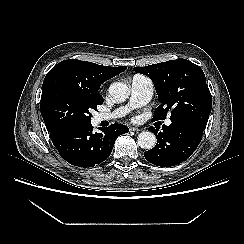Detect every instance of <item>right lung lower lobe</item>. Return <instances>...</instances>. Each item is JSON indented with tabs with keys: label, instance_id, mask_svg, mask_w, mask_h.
Here are the masks:
<instances>
[{
	"label": "right lung lower lobe",
	"instance_id": "obj_1",
	"mask_svg": "<svg viewBox=\"0 0 244 244\" xmlns=\"http://www.w3.org/2000/svg\"><path fill=\"white\" fill-rule=\"evenodd\" d=\"M128 131L125 125L112 124L102 132L94 133L90 123L50 132V137L63 159L74 166L87 168L105 161L117 137Z\"/></svg>",
	"mask_w": 244,
	"mask_h": 244
}]
</instances>
